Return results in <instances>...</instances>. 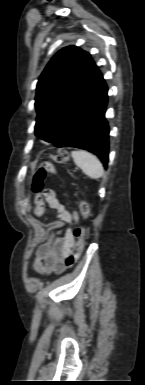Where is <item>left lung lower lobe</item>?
<instances>
[{
  "mask_svg": "<svg viewBox=\"0 0 145 385\" xmlns=\"http://www.w3.org/2000/svg\"><path fill=\"white\" fill-rule=\"evenodd\" d=\"M107 86L95 72L81 98L64 117L50 142L56 147H77L96 154L104 167L108 162L109 127L105 119Z\"/></svg>",
  "mask_w": 145,
  "mask_h": 385,
  "instance_id": "left-lung-lower-lobe-1",
  "label": "left lung lower lobe"
}]
</instances>
